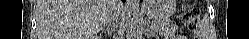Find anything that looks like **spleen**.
Here are the masks:
<instances>
[{
  "mask_svg": "<svg viewBox=\"0 0 249 39\" xmlns=\"http://www.w3.org/2000/svg\"><path fill=\"white\" fill-rule=\"evenodd\" d=\"M199 33L201 37L208 36L209 34V19L206 15H204L203 20L200 23Z\"/></svg>",
  "mask_w": 249,
  "mask_h": 39,
  "instance_id": "1",
  "label": "spleen"
}]
</instances>
